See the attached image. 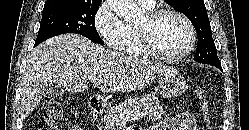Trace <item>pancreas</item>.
<instances>
[{"instance_id":"cf45deb5","label":"pancreas","mask_w":249,"mask_h":130,"mask_svg":"<svg viewBox=\"0 0 249 130\" xmlns=\"http://www.w3.org/2000/svg\"><path fill=\"white\" fill-rule=\"evenodd\" d=\"M141 110L144 111L147 119L153 121L160 120L165 113L163 107L159 104V100L155 96L147 94L142 97L132 98L110 108L101 120L104 124V129L118 130V127L123 122L120 117L122 114L140 112Z\"/></svg>"}]
</instances>
